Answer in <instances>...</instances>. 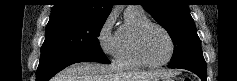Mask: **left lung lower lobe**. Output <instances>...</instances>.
Listing matches in <instances>:
<instances>
[{
  "label": "left lung lower lobe",
  "instance_id": "1",
  "mask_svg": "<svg viewBox=\"0 0 237 81\" xmlns=\"http://www.w3.org/2000/svg\"><path fill=\"white\" fill-rule=\"evenodd\" d=\"M181 69H186V70H189V71L195 73L197 76H199V78L202 81H206V79H207L206 67L190 66V67H183Z\"/></svg>",
  "mask_w": 237,
  "mask_h": 81
}]
</instances>
